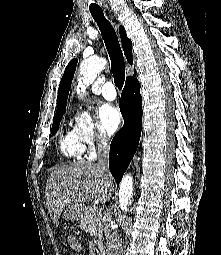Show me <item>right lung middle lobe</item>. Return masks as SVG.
Segmentation results:
<instances>
[{"label":"right lung middle lobe","mask_w":221,"mask_h":255,"mask_svg":"<svg viewBox=\"0 0 221 255\" xmlns=\"http://www.w3.org/2000/svg\"><path fill=\"white\" fill-rule=\"evenodd\" d=\"M63 114H64V111L58 112L55 114L53 118L52 129H51L52 134H55L58 131L59 123L63 117Z\"/></svg>","instance_id":"right-lung-middle-lobe-1"}]
</instances>
